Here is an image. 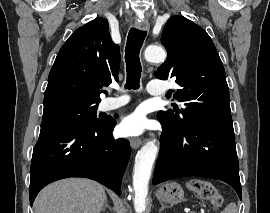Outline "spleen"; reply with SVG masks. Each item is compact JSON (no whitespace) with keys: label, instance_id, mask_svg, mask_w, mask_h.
I'll list each match as a JSON object with an SVG mask.
<instances>
[{"label":"spleen","instance_id":"1","mask_svg":"<svg viewBox=\"0 0 270 213\" xmlns=\"http://www.w3.org/2000/svg\"><path fill=\"white\" fill-rule=\"evenodd\" d=\"M222 213H237V207L234 202L226 206Z\"/></svg>","mask_w":270,"mask_h":213}]
</instances>
